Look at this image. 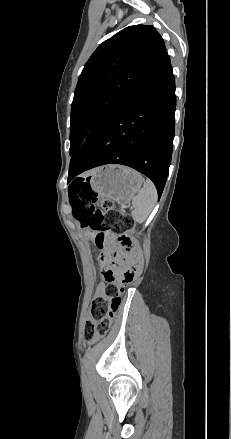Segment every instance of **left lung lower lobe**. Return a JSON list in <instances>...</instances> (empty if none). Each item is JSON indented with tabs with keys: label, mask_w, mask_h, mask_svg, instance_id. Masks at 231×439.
<instances>
[{
	"label": "left lung lower lobe",
	"mask_w": 231,
	"mask_h": 439,
	"mask_svg": "<svg viewBox=\"0 0 231 439\" xmlns=\"http://www.w3.org/2000/svg\"><path fill=\"white\" fill-rule=\"evenodd\" d=\"M175 80L167 56L119 102L70 160L68 179L104 164H122L150 178L160 198L175 131Z\"/></svg>",
	"instance_id": "0a47b994"
}]
</instances>
